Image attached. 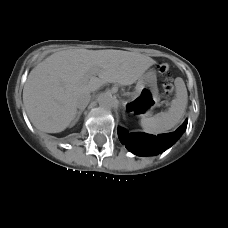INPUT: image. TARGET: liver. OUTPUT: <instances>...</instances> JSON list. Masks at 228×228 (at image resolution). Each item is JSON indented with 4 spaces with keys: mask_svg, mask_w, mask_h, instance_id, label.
Here are the masks:
<instances>
[{
    "mask_svg": "<svg viewBox=\"0 0 228 228\" xmlns=\"http://www.w3.org/2000/svg\"><path fill=\"white\" fill-rule=\"evenodd\" d=\"M156 62L143 54L121 50L72 49L52 54L29 74L23 103L40 131H64L75 119V97L95 92L106 83L128 86ZM90 73L95 79H86Z\"/></svg>",
    "mask_w": 228,
    "mask_h": 228,
    "instance_id": "6515ba94",
    "label": "liver"
}]
</instances>
